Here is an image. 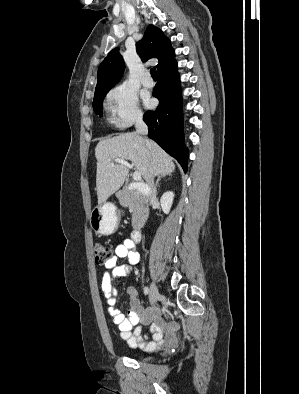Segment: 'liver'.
I'll use <instances>...</instances> for the list:
<instances>
[{
    "label": "liver",
    "mask_w": 299,
    "mask_h": 394,
    "mask_svg": "<svg viewBox=\"0 0 299 394\" xmlns=\"http://www.w3.org/2000/svg\"><path fill=\"white\" fill-rule=\"evenodd\" d=\"M97 159L96 190L98 204H103L124 183L129 169L110 160H130L148 182L150 177L167 175L175 170L172 158L154 141L136 133L120 134L101 140L95 148Z\"/></svg>",
    "instance_id": "obj_1"
}]
</instances>
